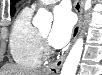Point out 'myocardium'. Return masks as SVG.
<instances>
[{
	"label": "myocardium",
	"mask_w": 102,
	"mask_h": 75,
	"mask_svg": "<svg viewBox=\"0 0 102 75\" xmlns=\"http://www.w3.org/2000/svg\"><path fill=\"white\" fill-rule=\"evenodd\" d=\"M40 42H41V49L44 52L45 55H48L52 52V50L50 49L46 37L40 33Z\"/></svg>",
	"instance_id": "f54148a6"
}]
</instances>
